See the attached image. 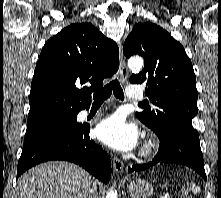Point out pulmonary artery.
<instances>
[{"mask_svg":"<svg viewBox=\"0 0 221 198\" xmlns=\"http://www.w3.org/2000/svg\"><path fill=\"white\" fill-rule=\"evenodd\" d=\"M126 95L130 99L140 100L144 97L143 92L141 89L129 86L126 90ZM83 116H87L89 114V111H83Z\"/></svg>","mask_w":221,"mask_h":198,"instance_id":"pulmonary-artery-1","label":"pulmonary artery"}]
</instances>
